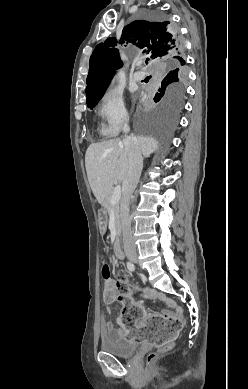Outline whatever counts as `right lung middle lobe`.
Returning <instances> with one entry per match:
<instances>
[{"instance_id": "dd1d6c3e", "label": "right lung middle lobe", "mask_w": 248, "mask_h": 389, "mask_svg": "<svg viewBox=\"0 0 248 389\" xmlns=\"http://www.w3.org/2000/svg\"><path fill=\"white\" fill-rule=\"evenodd\" d=\"M146 17L153 22H165L159 11L147 12ZM173 63L162 69L155 88L154 101L158 102L153 115L144 119V129L162 141H167L169 130L175 124L182 109L185 96L186 68ZM106 88L86 97L87 106L93 108L102 98Z\"/></svg>"}]
</instances>
